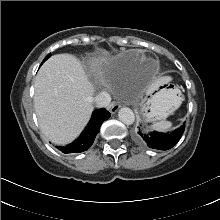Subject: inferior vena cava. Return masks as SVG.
<instances>
[{
  "mask_svg": "<svg viewBox=\"0 0 220 220\" xmlns=\"http://www.w3.org/2000/svg\"><path fill=\"white\" fill-rule=\"evenodd\" d=\"M111 102V97L106 92H101L94 97V105L97 108L107 107Z\"/></svg>",
  "mask_w": 220,
  "mask_h": 220,
  "instance_id": "obj_1",
  "label": "inferior vena cava"
}]
</instances>
